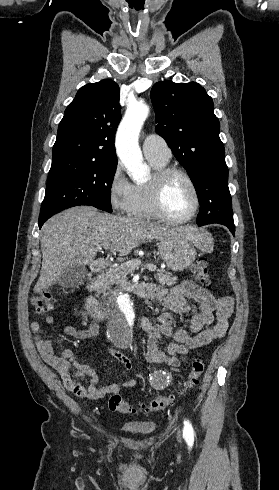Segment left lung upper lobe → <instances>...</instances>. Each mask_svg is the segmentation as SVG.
<instances>
[{"label":"left lung upper lobe","instance_id":"left-lung-upper-lobe-1","mask_svg":"<svg viewBox=\"0 0 279 490\" xmlns=\"http://www.w3.org/2000/svg\"><path fill=\"white\" fill-rule=\"evenodd\" d=\"M156 132L187 170L198 195L199 226L234 225L228 169L214 104L196 82H158L151 89Z\"/></svg>","mask_w":279,"mask_h":490}]
</instances>
